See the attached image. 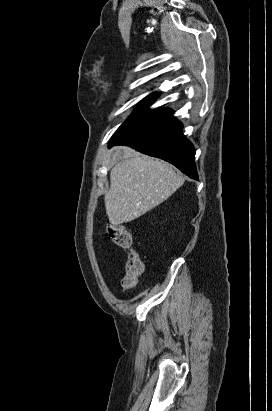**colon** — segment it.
Instances as JSON below:
<instances>
[{
    "label": "colon",
    "mask_w": 272,
    "mask_h": 411,
    "mask_svg": "<svg viewBox=\"0 0 272 411\" xmlns=\"http://www.w3.org/2000/svg\"><path fill=\"white\" fill-rule=\"evenodd\" d=\"M106 233L111 241L128 251L121 285L124 290H131L136 287L144 271V262L133 249L132 233L125 226L119 224H109Z\"/></svg>",
    "instance_id": "obj_1"
}]
</instances>
